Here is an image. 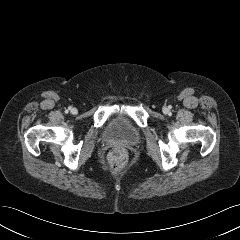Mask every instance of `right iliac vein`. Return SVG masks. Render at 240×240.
I'll list each match as a JSON object with an SVG mask.
<instances>
[{"label":"right iliac vein","mask_w":240,"mask_h":240,"mask_svg":"<svg viewBox=\"0 0 240 240\" xmlns=\"http://www.w3.org/2000/svg\"><path fill=\"white\" fill-rule=\"evenodd\" d=\"M77 112H78V111H77L76 108H72V109H71V113H72V114H77Z\"/></svg>","instance_id":"obj_1"}]
</instances>
